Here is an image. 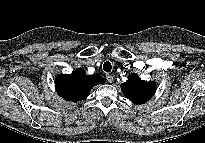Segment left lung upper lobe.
Segmentation results:
<instances>
[{
  "mask_svg": "<svg viewBox=\"0 0 205 143\" xmlns=\"http://www.w3.org/2000/svg\"><path fill=\"white\" fill-rule=\"evenodd\" d=\"M123 94L135 104L147 102L155 93L154 82L141 80L137 74H131L128 80L121 84Z\"/></svg>",
  "mask_w": 205,
  "mask_h": 143,
  "instance_id": "obj_1",
  "label": "left lung upper lobe"
}]
</instances>
